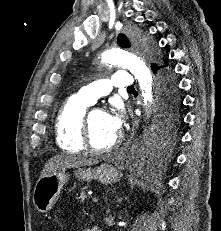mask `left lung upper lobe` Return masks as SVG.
I'll return each instance as SVG.
<instances>
[{
	"mask_svg": "<svg viewBox=\"0 0 221 231\" xmlns=\"http://www.w3.org/2000/svg\"><path fill=\"white\" fill-rule=\"evenodd\" d=\"M117 43L123 48H129L130 42L127 37L123 34H119ZM178 120V103H175L172 107V111L165 117H157L156 129L165 130L166 126L177 123Z\"/></svg>",
	"mask_w": 221,
	"mask_h": 231,
	"instance_id": "1",
	"label": "left lung upper lobe"
}]
</instances>
